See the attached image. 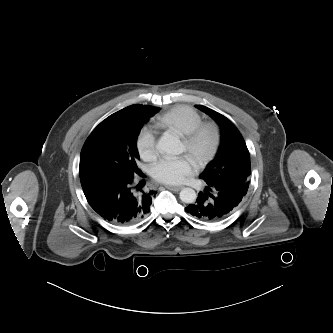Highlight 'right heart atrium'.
<instances>
[{
    "label": "right heart atrium",
    "instance_id": "1",
    "mask_svg": "<svg viewBox=\"0 0 333 333\" xmlns=\"http://www.w3.org/2000/svg\"><path fill=\"white\" fill-rule=\"evenodd\" d=\"M137 151L145 161H153L158 154L157 141L154 133L149 129L141 131L136 142Z\"/></svg>",
    "mask_w": 333,
    "mask_h": 333
}]
</instances>
